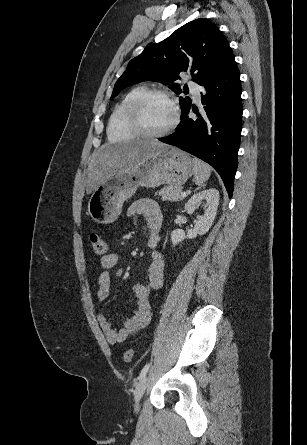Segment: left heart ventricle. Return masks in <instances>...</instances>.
Masks as SVG:
<instances>
[{"label":"left heart ventricle","mask_w":307,"mask_h":445,"mask_svg":"<svg viewBox=\"0 0 307 445\" xmlns=\"http://www.w3.org/2000/svg\"><path fill=\"white\" fill-rule=\"evenodd\" d=\"M142 117L148 130L155 133L161 132L171 123L173 108L167 101L154 98L144 105Z\"/></svg>","instance_id":"left-heart-ventricle-1"}]
</instances>
